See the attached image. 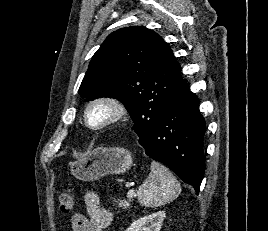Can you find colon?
<instances>
[{
  "mask_svg": "<svg viewBox=\"0 0 268 231\" xmlns=\"http://www.w3.org/2000/svg\"><path fill=\"white\" fill-rule=\"evenodd\" d=\"M59 204L63 213H70L75 209L77 200L73 195L64 193L59 197Z\"/></svg>",
  "mask_w": 268,
  "mask_h": 231,
  "instance_id": "5ec220e1",
  "label": "colon"
}]
</instances>
